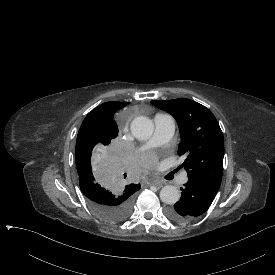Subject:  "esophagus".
<instances>
[{
  "mask_svg": "<svg viewBox=\"0 0 275 275\" xmlns=\"http://www.w3.org/2000/svg\"><path fill=\"white\" fill-rule=\"evenodd\" d=\"M151 184H152L153 186L160 187V186L162 185V181L159 180V179H154V180L151 182Z\"/></svg>",
  "mask_w": 275,
  "mask_h": 275,
  "instance_id": "esophagus-1",
  "label": "esophagus"
}]
</instances>
